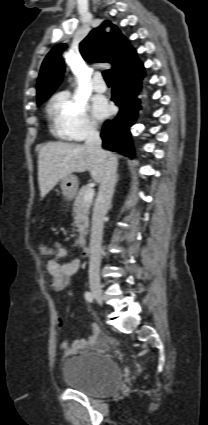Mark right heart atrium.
<instances>
[{"instance_id": "right-heart-atrium-1", "label": "right heart atrium", "mask_w": 208, "mask_h": 425, "mask_svg": "<svg viewBox=\"0 0 208 425\" xmlns=\"http://www.w3.org/2000/svg\"><path fill=\"white\" fill-rule=\"evenodd\" d=\"M56 132L68 139L82 141L97 134V127L90 116L87 102L62 91L54 96L50 105Z\"/></svg>"}]
</instances>
